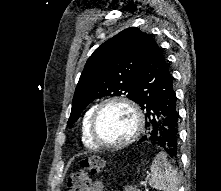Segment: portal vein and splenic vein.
<instances>
[{
  "mask_svg": "<svg viewBox=\"0 0 221 191\" xmlns=\"http://www.w3.org/2000/svg\"><path fill=\"white\" fill-rule=\"evenodd\" d=\"M146 185H147L146 181L140 182V186H141V187H146Z\"/></svg>",
  "mask_w": 221,
  "mask_h": 191,
  "instance_id": "obj_1",
  "label": "portal vein and splenic vein"
}]
</instances>
